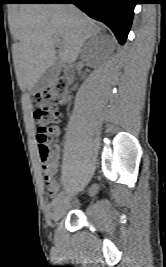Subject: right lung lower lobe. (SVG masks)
I'll list each match as a JSON object with an SVG mask.
<instances>
[{
  "label": "right lung lower lobe",
  "mask_w": 166,
  "mask_h": 267,
  "mask_svg": "<svg viewBox=\"0 0 166 267\" xmlns=\"http://www.w3.org/2000/svg\"><path fill=\"white\" fill-rule=\"evenodd\" d=\"M20 3H73L91 18L105 23L124 44L137 0H22Z\"/></svg>",
  "instance_id": "1"
}]
</instances>
